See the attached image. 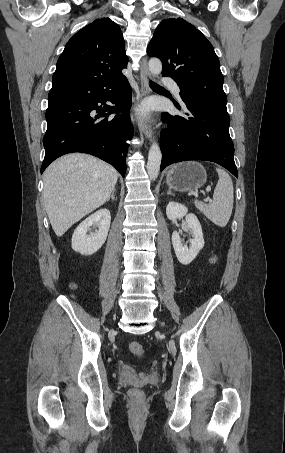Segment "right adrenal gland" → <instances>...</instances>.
Masks as SVG:
<instances>
[{
    "instance_id": "2a0ac1e0",
    "label": "right adrenal gland",
    "mask_w": 285,
    "mask_h": 453,
    "mask_svg": "<svg viewBox=\"0 0 285 453\" xmlns=\"http://www.w3.org/2000/svg\"><path fill=\"white\" fill-rule=\"evenodd\" d=\"M115 191H116V189L114 188L113 191H112L111 196L107 199V202H108L110 199L115 200V196H114Z\"/></svg>"
}]
</instances>
